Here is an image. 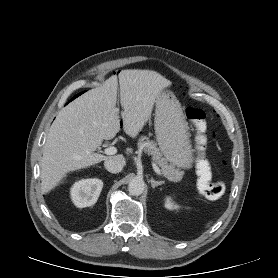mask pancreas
Wrapping results in <instances>:
<instances>
[{
  "label": "pancreas",
  "mask_w": 278,
  "mask_h": 278,
  "mask_svg": "<svg viewBox=\"0 0 278 278\" xmlns=\"http://www.w3.org/2000/svg\"><path fill=\"white\" fill-rule=\"evenodd\" d=\"M138 150L145 151L153 156V159L161 168L162 174L170 181L179 182L183 178V171L175 168L173 164H169L168 161L162 157L160 149L157 148L156 143L150 141L148 137L141 136L138 141Z\"/></svg>",
  "instance_id": "pancreas-1"
}]
</instances>
